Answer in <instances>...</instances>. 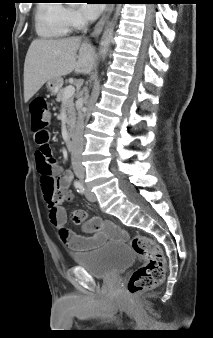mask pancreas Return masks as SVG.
Listing matches in <instances>:
<instances>
[{"instance_id": "cf45deb5", "label": "pancreas", "mask_w": 213, "mask_h": 338, "mask_svg": "<svg viewBox=\"0 0 213 338\" xmlns=\"http://www.w3.org/2000/svg\"><path fill=\"white\" fill-rule=\"evenodd\" d=\"M64 88H61L58 92H57V101L61 102V101H65L66 102V111H67V124L68 126H73L76 120V110L74 107V97L71 96L67 99L64 98Z\"/></svg>"}]
</instances>
